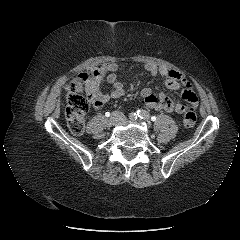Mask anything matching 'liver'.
I'll list each match as a JSON object with an SVG mask.
<instances>
[{
  "instance_id": "1",
  "label": "liver",
  "mask_w": 240,
  "mask_h": 240,
  "mask_svg": "<svg viewBox=\"0 0 240 240\" xmlns=\"http://www.w3.org/2000/svg\"><path fill=\"white\" fill-rule=\"evenodd\" d=\"M65 89L67 90V89H68V87L66 86V87H65Z\"/></svg>"
}]
</instances>
